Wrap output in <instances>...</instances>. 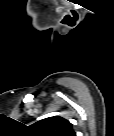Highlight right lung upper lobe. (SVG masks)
Instances as JSON below:
<instances>
[{
	"label": "right lung upper lobe",
	"mask_w": 114,
	"mask_h": 136,
	"mask_svg": "<svg viewBox=\"0 0 114 136\" xmlns=\"http://www.w3.org/2000/svg\"><path fill=\"white\" fill-rule=\"evenodd\" d=\"M30 130L37 136H75L72 124L60 116L40 120L30 126Z\"/></svg>",
	"instance_id": "1"
}]
</instances>
